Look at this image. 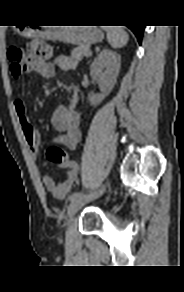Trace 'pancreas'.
<instances>
[{"label": "pancreas", "instance_id": "cf45deb5", "mask_svg": "<svg viewBox=\"0 0 184 292\" xmlns=\"http://www.w3.org/2000/svg\"><path fill=\"white\" fill-rule=\"evenodd\" d=\"M90 51L89 45H80L75 47L71 52V57L75 61H80L84 56H87Z\"/></svg>", "mask_w": 184, "mask_h": 292}]
</instances>
